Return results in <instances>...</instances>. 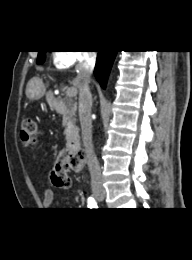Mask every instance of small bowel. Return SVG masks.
I'll use <instances>...</instances> for the list:
<instances>
[{
  "label": "small bowel",
  "instance_id": "c3829d8e",
  "mask_svg": "<svg viewBox=\"0 0 192 260\" xmlns=\"http://www.w3.org/2000/svg\"><path fill=\"white\" fill-rule=\"evenodd\" d=\"M43 195H44L43 204L46 208H49L52 205L54 199L53 190L49 187H46L44 189Z\"/></svg>",
  "mask_w": 192,
  "mask_h": 260
}]
</instances>
